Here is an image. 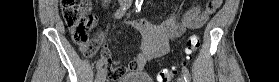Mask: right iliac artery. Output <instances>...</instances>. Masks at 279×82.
Masks as SVG:
<instances>
[{
  "instance_id": "82829eb1",
  "label": "right iliac artery",
  "mask_w": 279,
  "mask_h": 82,
  "mask_svg": "<svg viewBox=\"0 0 279 82\" xmlns=\"http://www.w3.org/2000/svg\"><path fill=\"white\" fill-rule=\"evenodd\" d=\"M132 4V0H125V3L119 8L117 9L116 13H115V18L116 19H120L124 16V14L126 13V11L128 10V8L131 6ZM103 66L102 62L99 60L96 63V68L97 69H101Z\"/></svg>"
}]
</instances>
